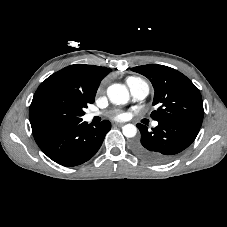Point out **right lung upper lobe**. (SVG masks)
Masks as SVG:
<instances>
[{
    "instance_id": "cb5924a9",
    "label": "right lung upper lobe",
    "mask_w": 227,
    "mask_h": 227,
    "mask_svg": "<svg viewBox=\"0 0 227 227\" xmlns=\"http://www.w3.org/2000/svg\"><path fill=\"white\" fill-rule=\"evenodd\" d=\"M110 71L111 69L106 67L74 64L52 74L45 82L61 84L89 100H94L99 83Z\"/></svg>"
}]
</instances>
